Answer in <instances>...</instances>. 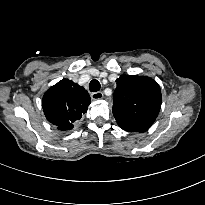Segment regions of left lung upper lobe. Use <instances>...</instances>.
<instances>
[{
    "label": "left lung upper lobe",
    "mask_w": 205,
    "mask_h": 205,
    "mask_svg": "<svg viewBox=\"0 0 205 205\" xmlns=\"http://www.w3.org/2000/svg\"><path fill=\"white\" fill-rule=\"evenodd\" d=\"M113 115L128 132H145L154 123L161 108V90L150 77L122 75L116 80Z\"/></svg>",
    "instance_id": "1"
}]
</instances>
